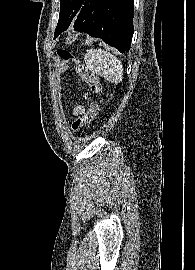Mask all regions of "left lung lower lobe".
Listing matches in <instances>:
<instances>
[{
	"mask_svg": "<svg viewBox=\"0 0 195 270\" xmlns=\"http://www.w3.org/2000/svg\"><path fill=\"white\" fill-rule=\"evenodd\" d=\"M70 25L127 52L134 32L133 0H85Z\"/></svg>",
	"mask_w": 195,
	"mask_h": 270,
	"instance_id": "left-lung-lower-lobe-1",
	"label": "left lung lower lobe"
}]
</instances>
